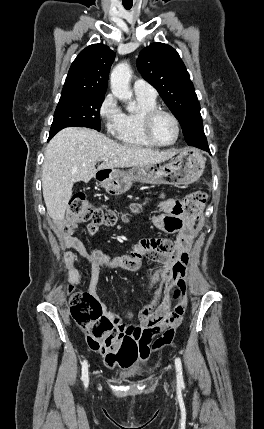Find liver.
Segmentation results:
<instances>
[{
  "instance_id": "liver-1",
  "label": "liver",
  "mask_w": 264,
  "mask_h": 429,
  "mask_svg": "<svg viewBox=\"0 0 264 429\" xmlns=\"http://www.w3.org/2000/svg\"><path fill=\"white\" fill-rule=\"evenodd\" d=\"M177 153L119 144L89 128H65L51 139L45 152L42 190L47 212L54 222L64 221L74 183L89 182L98 170L160 163ZM97 162H103L98 169Z\"/></svg>"
}]
</instances>
